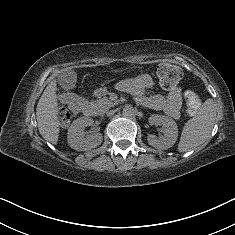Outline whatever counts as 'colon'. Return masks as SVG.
Segmentation results:
<instances>
[{
  "label": "colon",
  "mask_w": 235,
  "mask_h": 235,
  "mask_svg": "<svg viewBox=\"0 0 235 235\" xmlns=\"http://www.w3.org/2000/svg\"><path fill=\"white\" fill-rule=\"evenodd\" d=\"M160 80L165 89H172L179 82L181 72L178 67L170 64H165L160 68ZM201 106L200 100L194 95L189 93L186 102V112L190 116L198 113ZM57 118L62 126H66L70 122V113L66 108H59L57 111Z\"/></svg>",
  "instance_id": "colon-1"
}]
</instances>
